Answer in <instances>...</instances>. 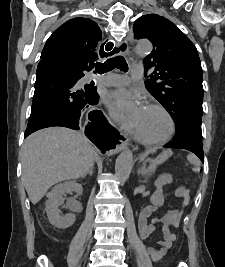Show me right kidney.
Masks as SVG:
<instances>
[{"label": "right kidney", "instance_id": "1", "mask_svg": "<svg viewBox=\"0 0 225 267\" xmlns=\"http://www.w3.org/2000/svg\"><path fill=\"white\" fill-rule=\"evenodd\" d=\"M76 192L81 195L83 193V187L81 184L76 181H66L54 186L47 194L48 200L46 202V213L49 219V222L57 228H68L76 220L74 214H66L61 216L59 214V206L63 204L64 198L63 196L66 193Z\"/></svg>", "mask_w": 225, "mask_h": 267}]
</instances>
